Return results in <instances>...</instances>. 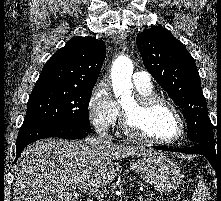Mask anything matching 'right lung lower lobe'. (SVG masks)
Returning <instances> with one entry per match:
<instances>
[{"instance_id":"98d812e1","label":"right lung lower lobe","mask_w":221,"mask_h":201,"mask_svg":"<svg viewBox=\"0 0 221 201\" xmlns=\"http://www.w3.org/2000/svg\"><path fill=\"white\" fill-rule=\"evenodd\" d=\"M90 131L91 130H85L77 126L60 123H38L27 127L22 126L16 141V160L22 150L31 142L48 137L81 139L86 137L87 132Z\"/></svg>"}]
</instances>
